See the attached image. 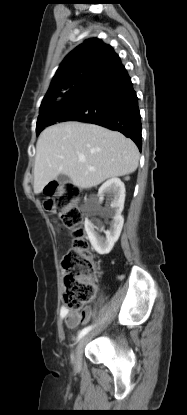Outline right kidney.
<instances>
[{
    "mask_svg": "<svg viewBox=\"0 0 187 415\" xmlns=\"http://www.w3.org/2000/svg\"><path fill=\"white\" fill-rule=\"evenodd\" d=\"M106 195L111 201L112 210L102 209L98 204L96 205L97 211L101 216L111 217L113 219L110 224V229L104 231L106 238L100 236L95 231L96 227L88 218L85 219V231L89 241L95 251L100 255L108 254L120 236L124 223V218L121 215L125 201L124 183L119 178L107 180L98 191L100 200Z\"/></svg>",
    "mask_w": 187,
    "mask_h": 415,
    "instance_id": "1",
    "label": "right kidney"
}]
</instances>
